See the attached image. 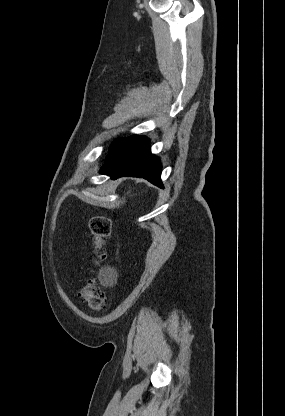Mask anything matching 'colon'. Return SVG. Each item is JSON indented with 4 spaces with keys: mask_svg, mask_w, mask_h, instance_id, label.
<instances>
[{
    "mask_svg": "<svg viewBox=\"0 0 285 416\" xmlns=\"http://www.w3.org/2000/svg\"><path fill=\"white\" fill-rule=\"evenodd\" d=\"M92 242L93 262L99 263L106 257L105 242L111 236L112 222L107 216H95L89 222ZM80 294L90 309L102 311L107 307V296L97 285L95 279H89L82 287Z\"/></svg>",
    "mask_w": 285,
    "mask_h": 416,
    "instance_id": "5ec220e1",
    "label": "colon"
}]
</instances>
